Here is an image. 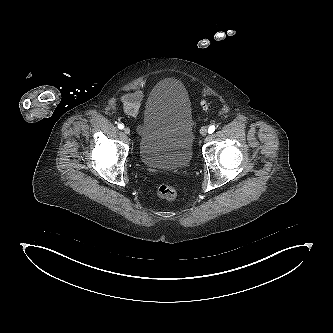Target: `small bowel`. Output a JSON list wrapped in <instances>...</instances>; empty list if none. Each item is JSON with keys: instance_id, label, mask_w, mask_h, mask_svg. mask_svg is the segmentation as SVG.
Here are the masks:
<instances>
[{"instance_id": "1", "label": "small bowel", "mask_w": 333, "mask_h": 333, "mask_svg": "<svg viewBox=\"0 0 333 333\" xmlns=\"http://www.w3.org/2000/svg\"><path fill=\"white\" fill-rule=\"evenodd\" d=\"M141 99V91L124 95L121 98L124 112L129 116L135 117L139 112Z\"/></svg>"}]
</instances>
